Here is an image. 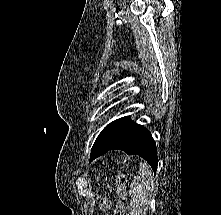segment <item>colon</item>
I'll return each instance as SVG.
<instances>
[{
	"instance_id": "obj_1",
	"label": "colon",
	"mask_w": 221,
	"mask_h": 215,
	"mask_svg": "<svg viewBox=\"0 0 221 215\" xmlns=\"http://www.w3.org/2000/svg\"><path fill=\"white\" fill-rule=\"evenodd\" d=\"M115 187L119 195V201L115 207V215H128L126 207V178L119 174L115 180ZM101 208L107 210L110 208V202L107 199L102 200Z\"/></svg>"
}]
</instances>
